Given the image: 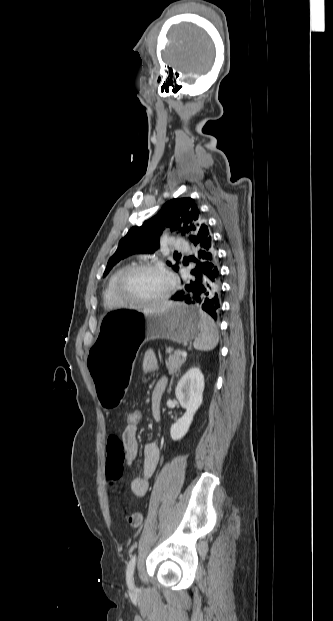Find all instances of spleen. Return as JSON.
<instances>
[{
    "mask_svg": "<svg viewBox=\"0 0 333 621\" xmlns=\"http://www.w3.org/2000/svg\"><path fill=\"white\" fill-rule=\"evenodd\" d=\"M200 324L199 335L195 339L193 346L199 351H211L219 342V334L214 320L204 311H199Z\"/></svg>",
    "mask_w": 333,
    "mask_h": 621,
    "instance_id": "spleen-1",
    "label": "spleen"
}]
</instances>
